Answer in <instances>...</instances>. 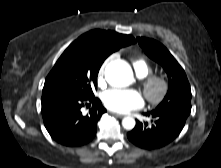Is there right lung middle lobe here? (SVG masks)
I'll use <instances>...</instances> for the list:
<instances>
[{
    "label": "right lung middle lobe",
    "mask_w": 221,
    "mask_h": 168,
    "mask_svg": "<svg viewBox=\"0 0 221 168\" xmlns=\"http://www.w3.org/2000/svg\"><path fill=\"white\" fill-rule=\"evenodd\" d=\"M107 56L83 45H70L47 76L43 91L61 90L83 97L94 96L99 69Z\"/></svg>",
    "instance_id": "right-lung-middle-lobe-1"
}]
</instances>
